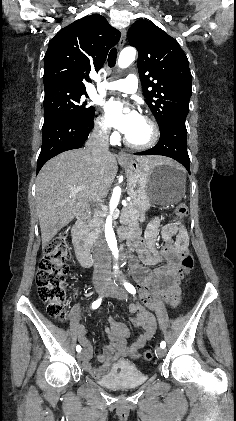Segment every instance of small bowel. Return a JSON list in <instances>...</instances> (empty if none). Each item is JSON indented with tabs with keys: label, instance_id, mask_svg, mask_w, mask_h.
I'll return each instance as SVG.
<instances>
[{
	"label": "small bowel",
	"instance_id": "c3829d8e",
	"mask_svg": "<svg viewBox=\"0 0 236 421\" xmlns=\"http://www.w3.org/2000/svg\"><path fill=\"white\" fill-rule=\"evenodd\" d=\"M134 228H136L139 232H141L140 228H138V227H134ZM158 232H159V221L153 220L146 227L145 237H146L147 242L152 244L155 241V239L158 235ZM162 236L165 240H171L174 236H177L176 246L178 248V251H179L180 255H182L183 252L186 251L187 245H188V234H187L186 229L182 226V224L179 221L174 220V221L166 224L162 229ZM79 310H80V307L76 306L75 307L76 315L79 313ZM140 314L146 320V323H147V339L146 340H149L151 338V336L153 335L154 331H155V322L149 314H147L143 311L142 312L140 311ZM74 326H77L76 323H74ZM78 327L81 328L80 326H78ZM111 327H112L113 330H121V331L125 332L126 336H128V334H129V332H128V330L125 326L117 323L113 319L111 320ZM80 341L85 346L88 347L87 351L90 350L91 356H92L91 348L88 346L87 340L84 338V336H83L82 339H80ZM145 341L143 343L139 344V346H137V347L142 346L145 343ZM87 351H86V353H87ZM86 353L84 355V358L86 357Z\"/></svg>",
	"mask_w": 236,
	"mask_h": 421
}]
</instances>
